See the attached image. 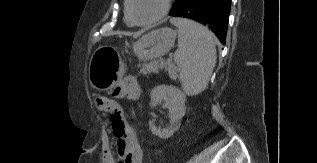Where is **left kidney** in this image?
Listing matches in <instances>:
<instances>
[{
  "mask_svg": "<svg viewBox=\"0 0 317 163\" xmlns=\"http://www.w3.org/2000/svg\"><path fill=\"white\" fill-rule=\"evenodd\" d=\"M150 106L155 107L164 101L163 106L169 109L170 126L160 129L155 126L153 121L149 122L151 132L162 139H167L174 134L180 127V121L185 115L186 95L174 86H156L150 94Z\"/></svg>",
  "mask_w": 317,
  "mask_h": 163,
  "instance_id": "left-kidney-1",
  "label": "left kidney"
}]
</instances>
